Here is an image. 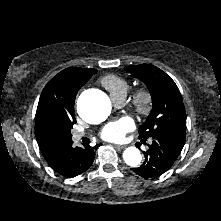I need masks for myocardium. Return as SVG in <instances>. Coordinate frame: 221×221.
Returning a JSON list of instances; mask_svg holds the SVG:
<instances>
[{"label": "myocardium", "mask_w": 221, "mask_h": 221, "mask_svg": "<svg viewBox=\"0 0 221 221\" xmlns=\"http://www.w3.org/2000/svg\"><path fill=\"white\" fill-rule=\"evenodd\" d=\"M153 95L147 86L138 87L131 99L134 110L140 115H148L153 109Z\"/></svg>", "instance_id": "1"}]
</instances>
